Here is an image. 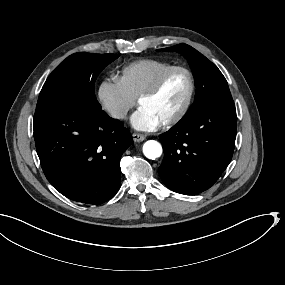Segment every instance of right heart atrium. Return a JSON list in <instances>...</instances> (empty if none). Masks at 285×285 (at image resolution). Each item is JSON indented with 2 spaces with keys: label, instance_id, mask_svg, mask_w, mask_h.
<instances>
[{
  "label": "right heart atrium",
  "instance_id": "1",
  "mask_svg": "<svg viewBox=\"0 0 285 285\" xmlns=\"http://www.w3.org/2000/svg\"><path fill=\"white\" fill-rule=\"evenodd\" d=\"M103 108L117 121L124 120L136 106V98L111 75L104 77L99 88Z\"/></svg>",
  "mask_w": 285,
  "mask_h": 285
}]
</instances>
